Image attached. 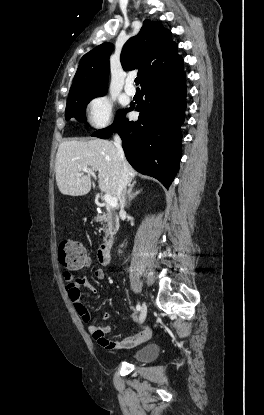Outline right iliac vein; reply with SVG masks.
Masks as SVG:
<instances>
[{"label":"right iliac vein","instance_id":"63e3f726","mask_svg":"<svg viewBox=\"0 0 264 415\" xmlns=\"http://www.w3.org/2000/svg\"><path fill=\"white\" fill-rule=\"evenodd\" d=\"M146 315H147V305L146 303H144L141 309V313H140V319H139L140 323H142L145 320Z\"/></svg>","mask_w":264,"mask_h":415}]
</instances>
